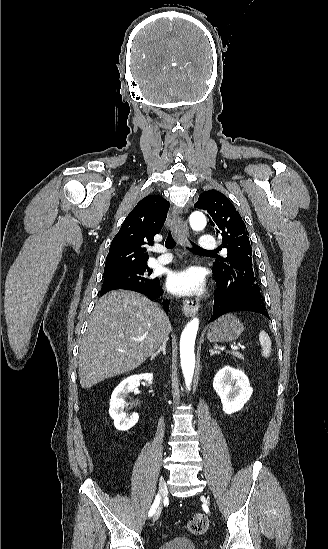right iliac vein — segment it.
Here are the masks:
<instances>
[{
  "instance_id": "63e3f726",
  "label": "right iliac vein",
  "mask_w": 328,
  "mask_h": 549,
  "mask_svg": "<svg viewBox=\"0 0 328 549\" xmlns=\"http://www.w3.org/2000/svg\"><path fill=\"white\" fill-rule=\"evenodd\" d=\"M166 495H167V486H166L164 478L161 477L160 481H159V496H160V499H163ZM161 510H162L161 505H159L157 511L155 512V514L153 516V521L154 522H156L159 519L160 514H161Z\"/></svg>"
}]
</instances>
